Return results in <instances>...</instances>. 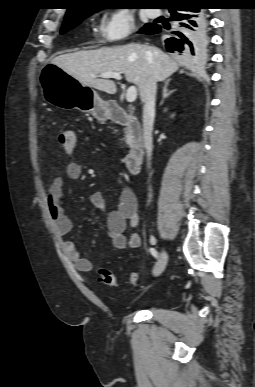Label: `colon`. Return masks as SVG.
<instances>
[{
  "label": "colon",
  "mask_w": 255,
  "mask_h": 387,
  "mask_svg": "<svg viewBox=\"0 0 255 387\" xmlns=\"http://www.w3.org/2000/svg\"><path fill=\"white\" fill-rule=\"evenodd\" d=\"M59 144L62 150L70 154L74 151L76 146V135L72 130L62 129L58 136ZM139 276L135 272H131L128 275V282L131 285H136L138 283ZM99 281L106 286L115 287L117 284L115 275L107 268L99 269Z\"/></svg>",
  "instance_id": "5ec220e1"
}]
</instances>
